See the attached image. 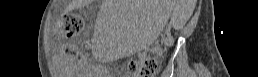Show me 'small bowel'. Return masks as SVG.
Wrapping results in <instances>:
<instances>
[{
	"label": "small bowel",
	"mask_w": 258,
	"mask_h": 77,
	"mask_svg": "<svg viewBox=\"0 0 258 77\" xmlns=\"http://www.w3.org/2000/svg\"><path fill=\"white\" fill-rule=\"evenodd\" d=\"M68 62H69V67H70L71 69H74L75 66H74V64L70 61V59H68Z\"/></svg>",
	"instance_id": "small-bowel-1"
}]
</instances>
